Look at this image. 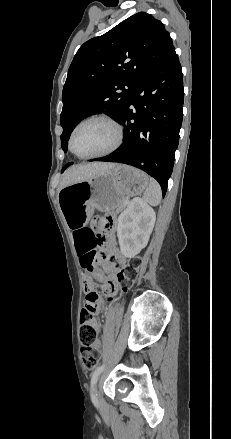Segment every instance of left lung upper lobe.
I'll return each mask as SVG.
<instances>
[{"label": "left lung upper lobe", "instance_id": "obj_1", "mask_svg": "<svg viewBox=\"0 0 231 439\" xmlns=\"http://www.w3.org/2000/svg\"><path fill=\"white\" fill-rule=\"evenodd\" d=\"M172 46L163 23L145 12L85 42L69 67L62 93L64 152L71 132L84 118L106 113L118 121L136 84Z\"/></svg>", "mask_w": 231, "mask_h": 439}]
</instances>
